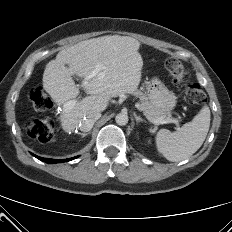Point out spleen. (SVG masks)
I'll list each match as a JSON object with an SVG mask.
<instances>
[{
    "mask_svg": "<svg viewBox=\"0 0 232 232\" xmlns=\"http://www.w3.org/2000/svg\"><path fill=\"white\" fill-rule=\"evenodd\" d=\"M210 127V109L204 106L191 122L175 132L160 129L155 137L156 146L167 160L178 162L193 155L203 144Z\"/></svg>",
    "mask_w": 232,
    "mask_h": 232,
    "instance_id": "3e777b00",
    "label": "spleen"
}]
</instances>
